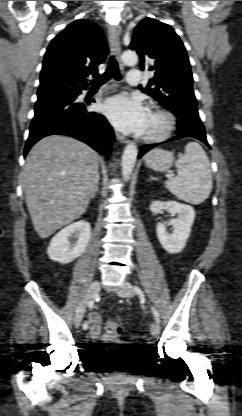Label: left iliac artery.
<instances>
[{
	"mask_svg": "<svg viewBox=\"0 0 242 416\" xmlns=\"http://www.w3.org/2000/svg\"><path fill=\"white\" fill-rule=\"evenodd\" d=\"M135 290H136L137 292H139V288H138V287H135ZM152 311H153V314H154V316H155L156 320H157V321H160L159 313L155 310V308H154V307H152Z\"/></svg>",
	"mask_w": 242,
	"mask_h": 416,
	"instance_id": "obj_1",
	"label": "left iliac artery"
}]
</instances>
